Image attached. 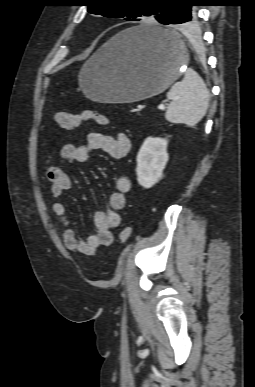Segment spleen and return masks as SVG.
<instances>
[{"mask_svg":"<svg viewBox=\"0 0 255 387\" xmlns=\"http://www.w3.org/2000/svg\"><path fill=\"white\" fill-rule=\"evenodd\" d=\"M171 103L165 117L172 123L194 127L206 114L209 92L202 78L188 68L182 81L175 83L167 93Z\"/></svg>","mask_w":255,"mask_h":387,"instance_id":"3e777b00","label":"spleen"}]
</instances>
